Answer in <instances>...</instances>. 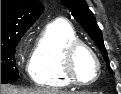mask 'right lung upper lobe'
<instances>
[{"instance_id":"cb5924a9","label":"right lung upper lobe","mask_w":121,"mask_h":94,"mask_svg":"<svg viewBox=\"0 0 121 94\" xmlns=\"http://www.w3.org/2000/svg\"><path fill=\"white\" fill-rule=\"evenodd\" d=\"M43 11L44 6L39 0H2L1 35L28 30Z\"/></svg>"}]
</instances>
